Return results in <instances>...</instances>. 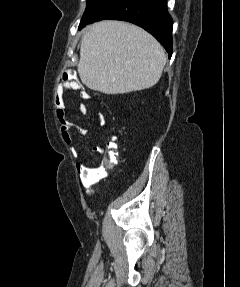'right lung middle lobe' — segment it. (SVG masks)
<instances>
[{
    "mask_svg": "<svg viewBox=\"0 0 240 287\" xmlns=\"http://www.w3.org/2000/svg\"><path fill=\"white\" fill-rule=\"evenodd\" d=\"M108 1L109 0H87V7L80 22L79 29L89 24Z\"/></svg>",
    "mask_w": 240,
    "mask_h": 287,
    "instance_id": "right-lung-middle-lobe-1",
    "label": "right lung middle lobe"
}]
</instances>
